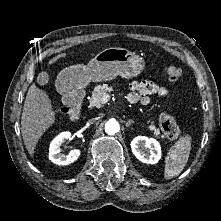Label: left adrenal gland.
<instances>
[{
  "label": "left adrenal gland",
  "instance_id": "obj_1",
  "mask_svg": "<svg viewBox=\"0 0 221 221\" xmlns=\"http://www.w3.org/2000/svg\"><path fill=\"white\" fill-rule=\"evenodd\" d=\"M134 124L133 120H128L125 124L126 127H129L130 125Z\"/></svg>",
  "mask_w": 221,
  "mask_h": 221
}]
</instances>
